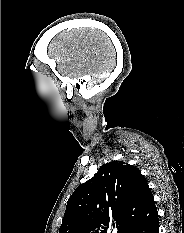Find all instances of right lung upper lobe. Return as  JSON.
<instances>
[{
    "instance_id": "1",
    "label": "right lung upper lobe",
    "mask_w": 184,
    "mask_h": 233,
    "mask_svg": "<svg viewBox=\"0 0 184 233\" xmlns=\"http://www.w3.org/2000/svg\"><path fill=\"white\" fill-rule=\"evenodd\" d=\"M155 202L140 170L123 161L104 164L79 185L67 202L59 233H117L140 218Z\"/></svg>"
}]
</instances>
